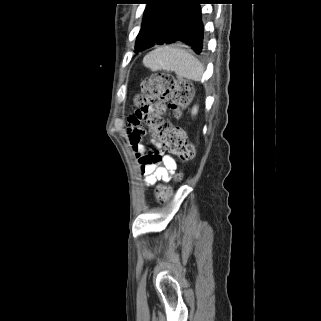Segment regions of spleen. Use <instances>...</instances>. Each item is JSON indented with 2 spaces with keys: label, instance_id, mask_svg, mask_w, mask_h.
I'll use <instances>...</instances> for the list:
<instances>
[{
  "label": "spleen",
  "instance_id": "obj_1",
  "mask_svg": "<svg viewBox=\"0 0 321 321\" xmlns=\"http://www.w3.org/2000/svg\"><path fill=\"white\" fill-rule=\"evenodd\" d=\"M143 65L151 71H173L179 78L200 81L204 67L202 63L179 45L159 46L143 58Z\"/></svg>",
  "mask_w": 321,
  "mask_h": 321
}]
</instances>
